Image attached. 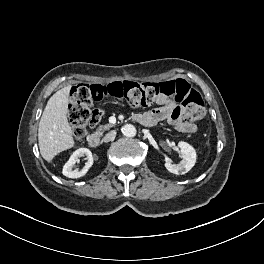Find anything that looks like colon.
Returning a JSON list of instances; mask_svg holds the SVG:
<instances>
[{"instance_id":"colon-1","label":"colon","mask_w":264,"mask_h":264,"mask_svg":"<svg viewBox=\"0 0 264 264\" xmlns=\"http://www.w3.org/2000/svg\"><path fill=\"white\" fill-rule=\"evenodd\" d=\"M116 99L134 107L174 100L188 120H199L205 114V105L199 92L182 79L160 83L117 81L108 85L79 84L72 89L69 119L76 139H81L89 126H95L100 113L92 110L95 103Z\"/></svg>"}]
</instances>
